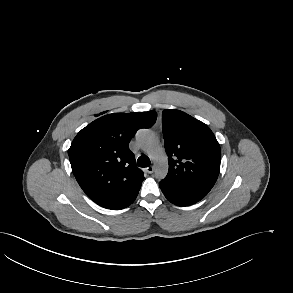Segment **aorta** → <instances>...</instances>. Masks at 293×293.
<instances>
[{
    "instance_id": "1",
    "label": "aorta",
    "mask_w": 293,
    "mask_h": 293,
    "mask_svg": "<svg viewBox=\"0 0 293 293\" xmlns=\"http://www.w3.org/2000/svg\"><path fill=\"white\" fill-rule=\"evenodd\" d=\"M136 140L153 160L155 175L164 178L168 172L167 157L155 134L148 129H141L136 134Z\"/></svg>"
}]
</instances>
